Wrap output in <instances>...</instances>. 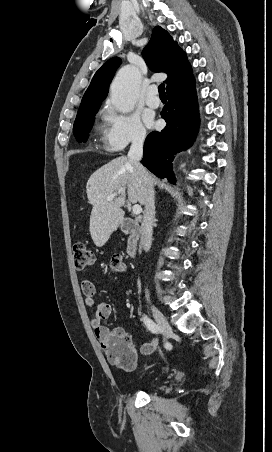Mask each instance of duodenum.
Listing matches in <instances>:
<instances>
[{"label": "duodenum", "mask_w": 272, "mask_h": 452, "mask_svg": "<svg viewBox=\"0 0 272 452\" xmlns=\"http://www.w3.org/2000/svg\"><path fill=\"white\" fill-rule=\"evenodd\" d=\"M122 232L129 235L127 242V254L135 257L138 253L139 240L141 236V226L139 221L131 218H123L121 222Z\"/></svg>", "instance_id": "1"}]
</instances>
